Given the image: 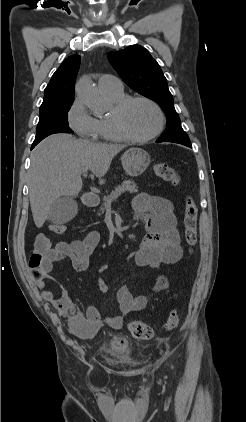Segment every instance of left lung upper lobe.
<instances>
[{"mask_svg":"<svg viewBox=\"0 0 246 422\" xmlns=\"http://www.w3.org/2000/svg\"><path fill=\"white\" fill-rule=\"evenodd\" d=\"M109 62L123 81L137 93L155 101L167 117V127L156 142L191 143L183 130L173 97L159 64L142 46L132 45L110 52Z\"/></svg>","mask_w":246,"mask_h":422,"instance_id":"left-lung-upper-lobe-1","label":"left lung upper lobe"}]
</instances>
